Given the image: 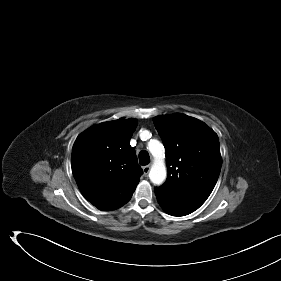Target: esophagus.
<instances>
[{"instance_id":"34e87169","label":"esophagus","mask_w":281,"mask_h":281,"mask_svg":"<svg viewBox=\"0 0 281 281\" xmlns=\"http://www.w3.org/2000/svg\"><path fill=\"white\" fill-rule=\"evenodd\" d=\"M151 166L150 165H146L143 167V173L144 175H147L150 171Z\"/></svg>"}]
</instances>
